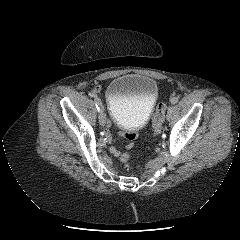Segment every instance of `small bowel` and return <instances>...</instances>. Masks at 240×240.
I'll use <instances>...</instances> for the list:
<instances>
[{
  "instance_id": "c3829d8e",
  "label": "small bowel",
  "mask_w": 240,
  "mask_h": 240,
  "mask_svg": "<svg viewBox=\"0 0 240 240\" xmlns=\"http://www.w3.org/2000/svg\"><path fill=\"white\" fill-rule=\"evenodd\" d=\"M98 99L100 100V101H103L104 99H105V96L103 95V94H100L99 96H98ZM114 127V121H113V118L111 117V116H108L107 118H106V120L104 121V127H103V132L104 133H109L110 132V129H112ZM117 136H124V138H126L129 142H130V144L127 146V149H130L131 147H132V145H133V143L134 142H136L137 140H138V138H139V135H138V133L136 132V131H134V130H131V131H129L128 133H127V131H117ZM107 140H112V135H110V134H107ZM110 151H111V153L113 154V155H115V156H120L121 155V151L119 150V149H117L116 147H111L110 148Z\"/></svg>"
}]
</instances>
